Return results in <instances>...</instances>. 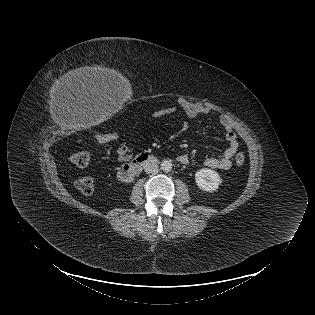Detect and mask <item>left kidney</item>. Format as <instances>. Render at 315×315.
I'll list each match as a JSON object with an SVG mask.
<instances>
[{"mask_svg":"<svg viewBox=\"0 0 315 315\" xmlns=\"http://www.w3.org/2000/svg\"><path fill=\"white\" fill-rule=\"evenodd\" d=\"M195 181L197 186L204 191H216L222 183L219 174L208 168H203L195 173Z\"/></svg>","mask_w":315,"mask_h":315,"instance_id":"left-kidney-1","label":"left kidney"}]
</instances>
